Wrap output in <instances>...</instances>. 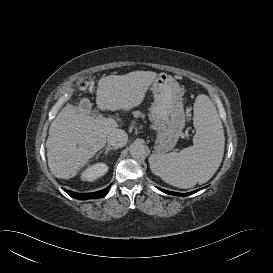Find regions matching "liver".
<instances>
[{
  "label": "liver",
  "instance_id": "obj_1",
  "mask_svg": "<svg viewBox=\"0 0 273 273\" xmlns=\"http://www.w3.org/2000/svg\"><path fill=\"white\" fill-rule=\"evenodd\" d=\"M158 75L152 71H133L109 75L98 82L96 104L99 109L129 111L139 106ZM87 108L67 104L49 127L46 141L50 172L70 179L103 148L108 134L118 128L112 118H94Z\"/></svg>",
  "mask_w": 273,
  "mask_h": 273
}]
</instances>
